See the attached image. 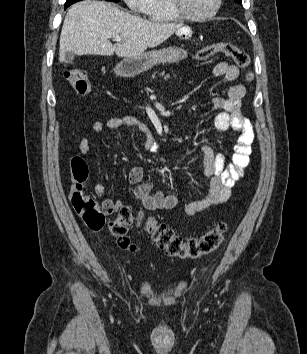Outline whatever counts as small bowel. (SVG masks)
I'll use <instances>...</instances> for the list:
<instances>
[{
	"label": "small bowel",
	"mask_w": 307,
	"mask_h": 354,
	"mask_svg": "<svg viewBox=\"0 0 307 354\" xmlns=\"http://www.w3.org/2000/svg\"><path fill=\"white\" fill-rule=\"evenodd\" d=\"M195 31L188 29H177L174 32L175 38H195ZM213 74L216 77H224L229 82H234L239 76V69L226 62L218 63ZM246 94V89L242 84L232 85L226 97L214 99V105L219 111L214 119L215 129L224 133L233 130L239 133L237 143L234 146L232 163L225 166L224 156L216 154L209 145H204V174L209 179V189L207 194L199 199L188 203L185 206L187 215H195L212 206L226 202L231 196V190L235 183L242 178L245 169L250 162L252 152L251 145L254 140L253 126L249 119L242 114V99ZM135 127L142 136V145L152 153H160L161 147L155 139L150 128L140 119L133 116L113 117L105 122L95 121L91 129L95 133L102 132L105 128L119 129ZM91 144L87 138H82L79 142V151L83 155L90 153ZM144 175L141 166L133 167L128 174V181L132 188L130 194L133 199L142 203L146 210H167L173 209L178 204L176 196L158 191L151 194L153 185L148 182L140 183ZM94 192L98 197L105 193L103 184L98 183L94 187ZM120 200L105 199L103 206L109 213L115 212L122 206Z\"/></svg>",
	"instance_id": "1"
}]
</instances>
